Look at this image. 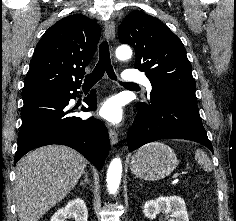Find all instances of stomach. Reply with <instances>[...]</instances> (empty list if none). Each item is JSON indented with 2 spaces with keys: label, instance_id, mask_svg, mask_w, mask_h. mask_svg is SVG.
<instances>
[{
  "label": "stomach",
  "instance_id": "stomach-1",
  "mask_svg": "<svg viewBox=\"0 0 236 221\" xmlns=\"http://www.w3.org/2000/svg\"><path fill=\"white\" fill-rule=\"evenodd\" d=\"M177 166L174 151L166 144L153 142L139 148L130 162L131 172L144 180L156 181L168 176Z\"/></svg>",
  "mask_w": 236,
  "mask_h": 221
}]
</instances>
